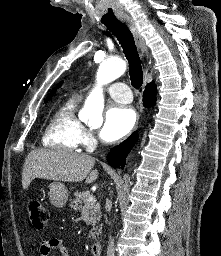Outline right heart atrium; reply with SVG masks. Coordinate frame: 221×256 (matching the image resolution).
<instances>
[{"label": "right heart atrium", "mask_w": 221, "mask_h": 256, "mask_svg": "<svg viewBox=\"0 0 221 256\" xmlns=\"http://www.w3.org/2000/svg\"><path fill=\"white\" fill-rule=\"evenodd\" d=\"M94 141L95 139L93 133L89 129L82 127L79 143L85 147H91L94 144Z\"/></svg>", "instance_id": "d8ad5b80"}]
</instances>
